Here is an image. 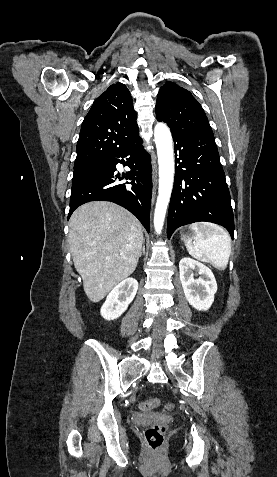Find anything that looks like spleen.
Here are the masks:
<instances>
[{
	"instance_id": "1",
	"label": "spleen",
	"mask_w": 277,
	"mask_h": 477,
	"mask_svg": "<svg viewBox=\"0 0 277 477\" xmlns=\"http://www.w3.org/2000/svg\"><path fill=\"white\" fill-rule=\"evenodd\" d=\"M189 229L194 233L192 238L182 237L189 254L224 271L231 254V239L228 232L216 224L207 222L191 224Z\"/></svg>"
}]
</instances>
